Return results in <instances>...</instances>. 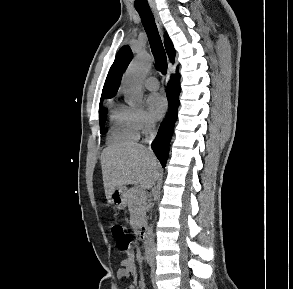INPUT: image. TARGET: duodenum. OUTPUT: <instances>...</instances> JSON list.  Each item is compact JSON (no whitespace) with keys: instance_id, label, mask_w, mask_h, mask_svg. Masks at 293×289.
<instances>
[{"instance_id":"obj_1","label":"duodenum","mask_w":293,"mask_h":289,"mask_svg":"<svg viewBox=\"0 0 293 289\" xmlns=\"http://www.w3.org/2000/svg\"><path fill=\"white\" fill-rule=\"evenodd\" d=\"M138 238L141 242H146L147 240V227L142 226L141 229L138 231Z\"/></svg>"}]
</instances>
